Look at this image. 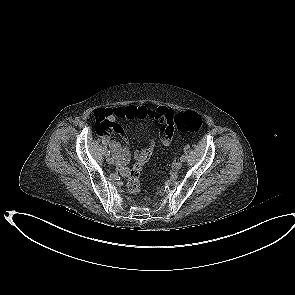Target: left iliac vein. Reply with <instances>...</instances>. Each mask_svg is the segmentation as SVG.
<instances>
[{"label":"left iliac vein","mask_w":295,"mask_h":295,"mask_svg":"<svg viewBox=\"0 0 295 295\" xmlns=\"http://www.w3.org/2000/svg\"><path fill=\"white\" fill-rule=\"evenodd\" d=\"M181 167H182V161L179 160L175 163L174 168H175V170H179V169H181Z\"/></svg>","instance_id":"1"}]
</instances>
